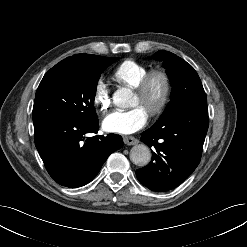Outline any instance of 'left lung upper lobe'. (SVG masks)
<instances>
[{"mask_svg": "<svg viewBox=\"0 0 247 247\" xmlns=\"http://www.w3.org/2000/svg\"><path fill=\"white\" fill-rule=\"evenodd\" d=\"M152 58L163 61L172 85L171 100L159 119L172 117L196 104H207L200 78L191 65L164 50H159Z\"/></svg>", "mask_w": 247, "mask_h": 247, "instance_id": "1", "label": "left lung upper lobe"}]
</instances>
